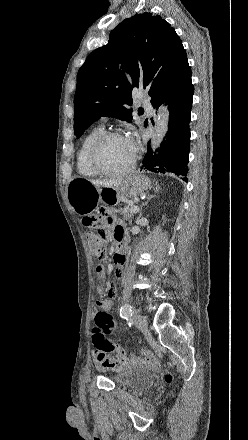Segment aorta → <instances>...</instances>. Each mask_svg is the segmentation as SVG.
<instances>
[{"label":"aorta","instance_id":"1","mask_svg":"<svg viewBox=\"0 0 248 440\" xmlns=\"http://www.w3.org/2000/svg\"><path fill=\"white\" fill-rule=\"evenodd\" d=\"M168 123H169V111L167 106L162 105L161 110L158 113L155 129H154V134L152 139L153 149L160 147L168 131Z\"/></svg>","mask_w":248,"mask_h":440}]
</instances>
